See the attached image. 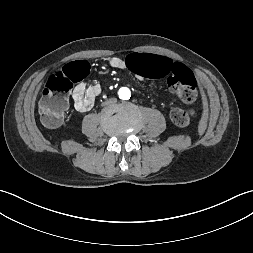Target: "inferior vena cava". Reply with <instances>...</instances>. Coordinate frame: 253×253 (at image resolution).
<instances>
[{"mask_svg":"<svg viewBox=\"0 0 253 253\" xmlns=\"http://www.w3.org/2000/svg\"><path fill=\"white\" fill-rule=\"evenodd\" d=\"M117 99L115 97L105 98L100 100L101 106L116 105Z\"/></svg>","mask_w":253,"mask_h":253,"instance_id":"602c4592","label":"inferior vena cava"}]
</instances>
